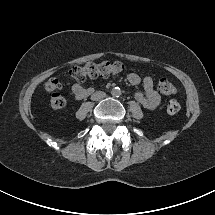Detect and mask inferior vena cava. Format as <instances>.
Listing matches in <instances>:
<instances>
[{
	"label": "inferior vena cava",
	"mask_w": 215,
	"mask_h": 215,
	"mask_svg": "<svg viewBox=\"0 0 215 215\" xmlns=\"http://www.w3.org/2000/svg\"><path fill=\"white\" fill-rule=\"evenodd\" d=\"M105 96H106V94L104 92H100L98 95L99 98H104Z\"/></svg>",
	"instance_id": "obj_1"
}]
</instances>
